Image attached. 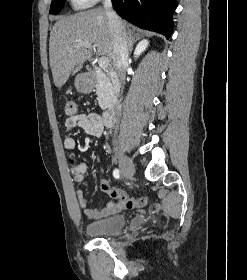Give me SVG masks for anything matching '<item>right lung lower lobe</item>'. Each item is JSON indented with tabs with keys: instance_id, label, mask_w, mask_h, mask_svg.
<instances>
[{
	"instance_id": "right-lung-lower-lobe-1",
	"label": "right lung lower lobe",
	"mask_w": 247,
	"mask_h": 280,
	"mask_svg": "<svg viewBox=\"0 0 247 280\" xmlns=\"http://www.w3.org/2000/svg\"><path fill=\"white\" fill-rule=\"evenodd\" d=\"M112 3L122 18L166 38L171 36L177 0H112Z\"/></svg>"
}]
</instances>
